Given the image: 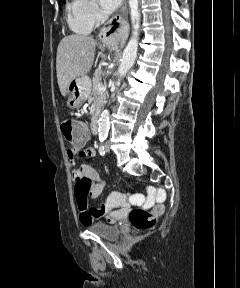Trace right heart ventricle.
Listing matches in <instances>:
<instances>
[{
	"label": "right heart ventricle",
	"instance_id": "e07e8e85",
	"mask_svg": "<svg viewBox=\"0 0 240 288\" xmlns=\"http://www.w3.org/2000/svg\"><path fill=\"white\" fill-rule=\"evenodd\" d=\"M66 16L69 27L77 34H88L94 23L86 16L83 0H70L66 5Z\"/></svg>",
	"mask_w": 240,
	"mask_h": 288
}]
</instances>
